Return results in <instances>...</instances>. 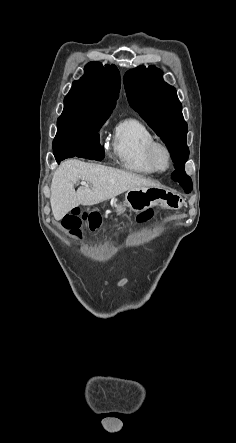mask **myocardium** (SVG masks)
I'll return each mask as SVG.
<instances>
[{"label": "myocardium", "instance_id": "1", "mask_svg": "<svg viewBox=\"0 0 236 443\" xmlns=\"http://www.w3.org/2000/svg\"><path fill=\"white\" fill-rule=\"evenodd\" d=\"M158 150H163L167 156V165L165 168H160L158 165L157 157H156ZM146 155H147L148 163L150 164V166L153 168V170L155 172H160V173L165 172L172 165V152H171L169 146L167 144H165L164 142L156 141V140L151 142L147 147Z\"/></svg>", "mask_w": 236, "mask_h": 443}]
</instances>
